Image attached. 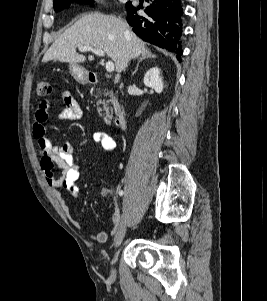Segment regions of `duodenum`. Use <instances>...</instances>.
Segmentation results:
<instances>
[{"instance_id": "duodenum-1", "label": "duodenum", "mask_w": 267, "mask_h": 301, "mask_svg": "<svg viewBox=\"0 0 267 301\" xmlns=\"http://www.w3.org/2000/svg\"><path fill=\"white\" fill-rule=\"evenodd\" d=\"M97 81L96 77L94 76H89L88 78V83L90 84H95ZM126 125V114L125 110L122 106L117 111L116 118H115V126L117 128L123 129Z\"/></svg>"}]
</instances>
